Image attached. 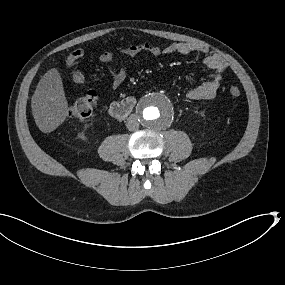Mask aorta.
I'll return each mask as SVG.
<instances>
[{
    "instance_id": "aorta-1",
    "label": "aorta",
    "mask_w": 285,
    "mask_h": 285,
    "mask_svg": "<svg viewBox=\"0 0 285 285\" xmlns=\"http://www.w3.org/2000/svg\"><path fill=\"white\" fill-rule=\"evenodd\" d=\"M137 116L143 126L151 130H162L172 124L176 116V105L170 95L162 91H151L141 97L137 105Z\"/></svg>"
}]
</instances>
